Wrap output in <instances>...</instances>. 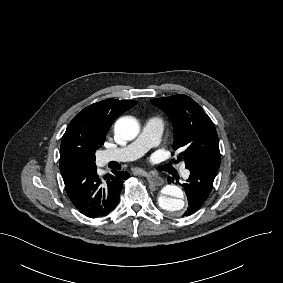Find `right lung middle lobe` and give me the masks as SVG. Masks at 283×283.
<instances>
[{
    "label": "right lung middle lobe",
    "mask_w": 283,
    "mask_h": 283,
    "mask_svg": "<svg viewBox=\"0 0 283 283\" xmlns=\"http://www.w3.org/2000/svg\"><path fill=\"white\" fill-rule=\"evenodd\" d=\"M105 139L106 134L97 132H65L60 148V171L73 166L95 164V152Z\"/></svg>",
    "instance_id": "1"
}]
</instances>
